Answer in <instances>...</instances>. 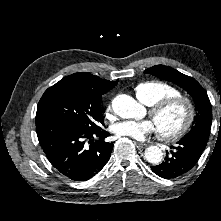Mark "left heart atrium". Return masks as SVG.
I'll list each match as a JSON object with an SVG mask.
<instances>
[{"mask_svg":"<svg viewBox=\"0 0 221 221\" xmlns=\"http://www.w3.org/2000/svg\"><path fill=\"white\" fill-rule=\"evenodd\" d=\"M113 133L118 137H129L135 140H143L147 134L155 131L153 122L145 121H121L113 126Z\"/></svg>","mask_w":221,"mask_h":221,"instance_id":"left-heart-atrium-1","label":"left heart atrium"}]
</instances>
